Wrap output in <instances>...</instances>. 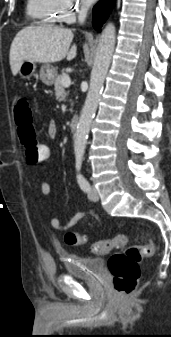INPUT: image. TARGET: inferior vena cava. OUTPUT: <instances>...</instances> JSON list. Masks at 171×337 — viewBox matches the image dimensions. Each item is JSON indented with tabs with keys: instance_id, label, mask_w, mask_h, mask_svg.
<instances>
[{
	"instance_id": "602c4592",
	"label": "inferior vena cava",
	"mask_w": 171,
	"mask_h": 337,
	"mask_svg": "<svg viewBox=\"0 0 171 337\" xmlns=\"http://www.w3.org/2000/svg\"><path fill=\"white\" fill-rule=\"evenodd\" d=\"M89 3H83L78 11V21L83 23L86 19L87 12L89 10Z\"/></svg>"
}]
</instances>
